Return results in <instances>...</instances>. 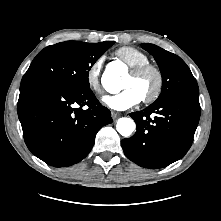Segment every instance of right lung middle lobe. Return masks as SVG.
<instances>
[{
	"mask_svg": "<svg viewBox=\"0 0 221 221\" xmlns=\"http://www.w3.org/2000/svg\"><path fill=\"white\" fill-rule=\"evenodd\" d=\"M114 43L66 41L48 46L33 59L22 81L46 80L71 88L89 89L91 67Z\"/></svg>",
	"mask_w": 221,
	"mask_h": 221,
	"instance_id": "right-lung-middle-lobe-1",
	"label": "right lung middle lobe"
}]
</instances>
